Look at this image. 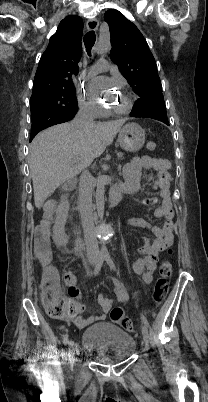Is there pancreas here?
Instances as JSON below:
<instances>
[{
	"label": "pancreas",
	"instance_id": "1",
	"mask_svg": "<svg viewBox=\"0 0 208 402\" xmlns=\"http://www.w3.org/2000/svg\"><path fill=\"white\" fill-rule=\"evenodd\" d=\"M118 158H123V154H121V152H119V154H117Z\"/></svg>",
	"mask_w": 208,
	"mask_h": 402
}]
</instances>
